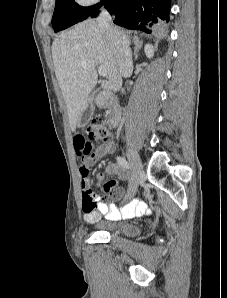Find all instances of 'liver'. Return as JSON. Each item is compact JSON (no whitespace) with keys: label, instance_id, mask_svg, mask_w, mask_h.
Segmentation results:
<instances>
[{"label":"liver","instance_id":"1","mask_svg":"<svg viewBox=\"0 0 227 298\" xmlns=\"http://www.w3.org/2000/svg\"><path fill=\"white\" fill-rule=\"evenodd\" d=\"M116 30L129 45L130 38L119 28ZM52 58L70 127L75 132L90 93L96 86L97 66L107 69L108 81H102V89L119 91L121 88L122 76L118 71L115 42L110 34L100 29L97 21L88 19L54 39Z\"/></svg>","mask_w":227,"mask_h":298}]
</instances>
